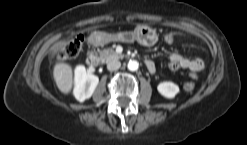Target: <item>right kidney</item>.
Returning <instances> with one entry per match:
<instances>
[{
  "label": "right kidney",
  "instance_id": "ca27d5eb",
  "mask_svg": "<svg viewBox=\"0 0 247 145\" xmlns=\"http://www.w3.org/2000/svg\"><path fill=\"white\" fill-rule=\"evenodd\" d=\"M99 78L93 74H88L83 65H79L75 69V88L74 96L79 102L89 99L97 85Z\"/></svg>",
  "mask_w": 247,
  "mask_h": 145
}]
</instances>
